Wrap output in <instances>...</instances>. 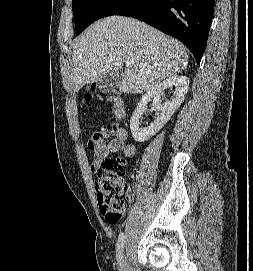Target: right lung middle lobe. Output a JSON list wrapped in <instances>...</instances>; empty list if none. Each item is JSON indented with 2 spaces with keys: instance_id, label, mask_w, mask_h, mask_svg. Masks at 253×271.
Here are the masks:
<instances>
[{
  "instance_id": "obj_1",
  "label": "right lung middle lobe",
  "mask_w": 253,
  "mask_h": 271,
  "mask_svg": "<svg viewBox=\"0 0 253 271\" xmlns=\"http://www.w3.org/2000/svg\"><path fill=\"white\" fill-rule=\"evenodd\" d=\"M127 0H73L76 35L94 21L113 15Z\"/></svg>"
}]
</instances>
